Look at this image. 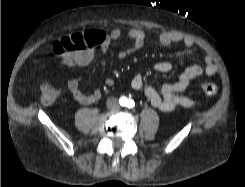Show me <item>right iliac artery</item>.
Listing matches in <instances>:
<instances>
[{"instance_id":"82829eb1","label":"right iliac artery","mask_w":245,"mask_h":187,"mask_svg":"<svg viewBox=\"0 0 245 187\" xmlns=\"http://www.w3.org/2000/svg\"><path fill=\"white\" fill-rule=\"evenodd\" d=\"M119 102H120L121 105H125L127 103V99L125 97H121Z\"/></svg>"}]
</instances>
